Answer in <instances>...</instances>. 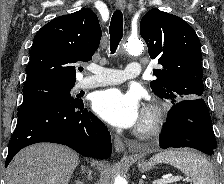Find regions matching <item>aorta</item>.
<instances>
[{
  "instance_id": "762f6f07",
  "label": "aorta",
  "mask_w": 224,
  "mask_h": 184,
  "mask_svg": "<svg viewBox=\"0 0 224 184\" xmlns=\"http://www.w3.org/2000/svg\"><path fill=\"white\" fill-rule=\"evenodd\" d=\"M123 49L129 53H140L143 50V43L138 38H129L124 44ZM114 184H126L123 177L117 176L114 180Z\"/></svg>"
}]
</instances>
